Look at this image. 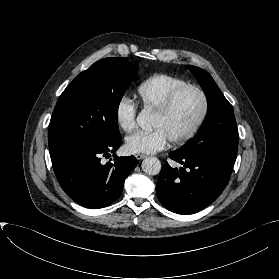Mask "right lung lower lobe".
<instances>
[{"label": "right lung lower lobe", "instance_id": "1", "mask_svg": "<svg viewBox=\"0 0 279 279\" xmlns=\"http://www.w3.org/2000/svg\"><path fill=\"white\" fill-rule=\"evenodd\" d=\"M121 145V135L96 146H80L51 156L61 188L78 204L103 208L116 201L126 177L136 167L134 156L116 157L113 163L101 162Z\"/></svg>", "mask_w": 279, "mask_h": 279}]
</instances>
